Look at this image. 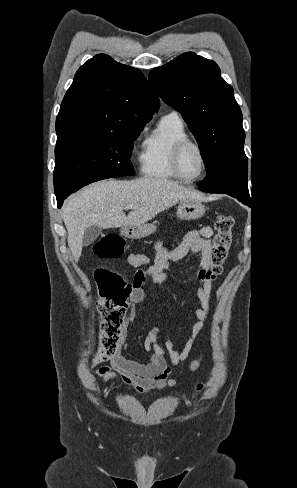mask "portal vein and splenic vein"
I'll return each mask as SVG.
<instances>
[{"label": "portal vein and splenic vein", "mask_w": 297, "mask_h": 488, "mask_svg": "<svg viewBox=\"0 0 297 488\" xmlns=\"http://www.w3.org/2000/svg\"><path fill=\"white\" fill-rule=\"evenodd\" d=\"M138 206L137 205H134V204H128L126 206L127 209H136Z\"/></svg>", "instance_id": "portal-vein-and-splenic-vein-1"}]
</instances>
